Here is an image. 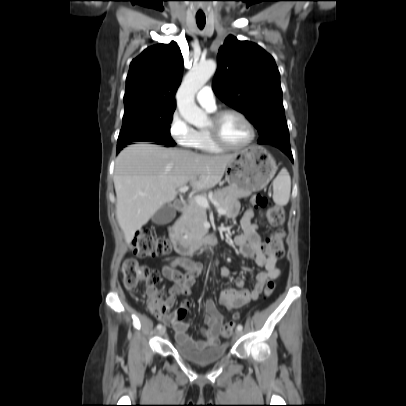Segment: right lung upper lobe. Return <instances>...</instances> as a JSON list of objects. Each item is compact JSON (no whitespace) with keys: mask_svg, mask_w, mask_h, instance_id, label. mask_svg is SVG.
I'll list each match as a JSON object with an SVG mask.
<instances>
[{"mask_svg":"<svg viewBox=\"0 0 406 406\" xmlns=\"http://www.w3.org/2000/svg\"><path fill=\"white\" fill-rule=\"evenodd\" d=\"M183 57L176 42L145 49L131 64L126 79L125 109L150 107L175 109Z\"/></svg>","mask_w":406,"mask_h":406,"instance_id":"obj_1","label":"right lung upper lobe"}]
</instances>
